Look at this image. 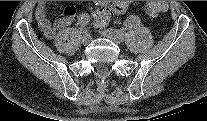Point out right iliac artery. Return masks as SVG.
Masks as SVG:
<instances>
[{"instance_id":"82829eb1","label":"right iliac artery","mask_w":207,"mask_h":121,"mask_svg":"<svg viewBox=\"0 0 207 121\" xmlns=\"http://www.w3.org/2000/svg\"><path fill=\"white\" fill-rule=\"evenodd\" d=\"M89 20H90V18H89V16L87 14H82L79 17L78 23H79L80 29L82 31H85V28H86L87 24L89 23Z\"/></svg>"}]
</instances>
